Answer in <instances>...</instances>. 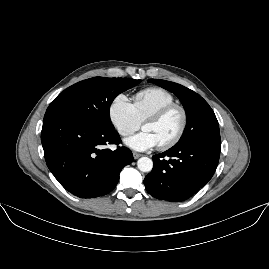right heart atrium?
<instances>
[{"label":"right heart atrium","mask_w":269,"mask_h":269,"mask_svg":"<svg viewBox=\"0 0 269 269\" xmlns=\"http://www.w3.org/2000/svg\"><path fill=\"white\" fill-rule=\"evenodd\" d=\"M108 118L116 131L124 137L139 130L142 123L125 94H118L112 99L108 107Z\"/></svg>","instance_id":"obj_1"}]
</instances>
